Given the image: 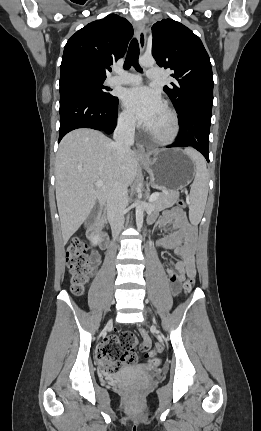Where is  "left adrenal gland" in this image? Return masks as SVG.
I'll list each match as a JSON object with an SVG mask.
<instances>
[{
  "mask_svg": "<svg viewBox=\"0 0 261 431\" xmlns=\"http://www.w3.org/2000/svg\"><path fill=\"white\" fill-rule=\"evenodd\" d=\"M147 191H148V192L150 191V189H149V185H147Z\"/></svg>",
  "mask_w": 261,
  "mask_h": 431,
  "instance_id": "obj_1",
  "label": "left adrenal gland"
}]
</instances>
